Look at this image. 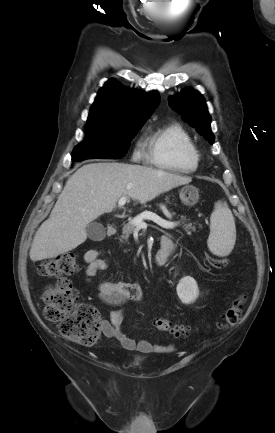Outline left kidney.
Masks as SVG:
<instances>
[{
    "mask_svg": "<svg viewBox=\"0 0 275 433\" xmlns=\"http://www.w3.org/2000/svg\"><path fill=\"white\" fill-rule=\"evenodd\" d=\"M176 291L179 299L184 304L193 303L199 295L197 282L190 276L183 277L179 281Z\"/></svg>",
    "mask_w": 275,
    "mask_h": 433,
    "instance_id": "5707ae66",
    "label": "left kidney"
}]
</instances>
